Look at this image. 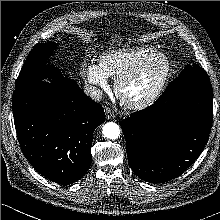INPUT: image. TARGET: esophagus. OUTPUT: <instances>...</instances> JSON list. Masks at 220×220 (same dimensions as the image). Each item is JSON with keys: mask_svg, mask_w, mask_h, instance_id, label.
<instances>
[{"mask_svg": "<svg viewBox=\"0 0 220 220\" xmlns=\"http://www.w3.org/2000/svg\"><path fill=\"white\" fill-rule=\"evenodd\" d=\"M105 116L109 120V119H113L115 117V114L109 107H106L105 108Z\"/></svg>", "mask_w": 220, "mask_h": 220, "instance_id": "esophagus-1", "label": "esophagus"}]
</instances>
